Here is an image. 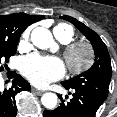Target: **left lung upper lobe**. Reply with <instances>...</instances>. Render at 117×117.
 Returning <instances> with one entry per match:
<instances>
[{"mask_svg": "<svg viewBox=\"0 0 117 117\" xmlns=\"http://www.w3.org/2000/svg\"><path fill=\"white\" fill-rule=\"evenodd\" d=\"M60 18L74 24L91 42L95 52V62L89 70L63 81L62 84L71 88L83 89L104 101L108 95L112 76L111 60L106 45L96 32L77 19L70 16H61Z\"/></svg>", "mask_w": 117, "mask_h": 117, "instance_id": "5c2ea615", "label": "left lung upper lobe"}]
</instances>
